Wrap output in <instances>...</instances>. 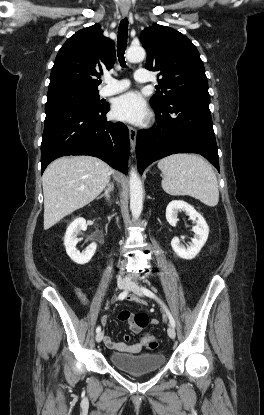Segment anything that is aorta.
Instances as JSON below:
<instances>
[{
    "label": "aorta",
    "instance_id": "762f6f07",
    "mask_svg": "<svg viewBox=\"0 0 264 415\" xmlns=\"http://www.w3.org/2000/svg\"><path fill=\"white\" fill-rule=\"evenodd\" d=\"M145 56V50L140 46H131L126 53L127 60L132 63L144 60ZM129 186L130 210L133 218L137 219L143 208V188L142 182L134 168L130 171Z\"/></svg>",
    "mask_w": 264,
    "mask_h": 415
}]
</instances>
